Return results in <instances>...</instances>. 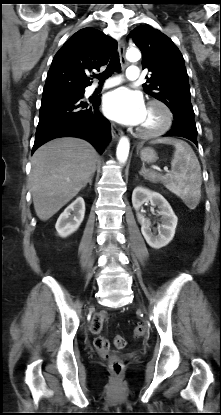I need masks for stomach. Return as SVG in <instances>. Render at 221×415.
I'll return each instance as SVG.
<instances>
[{"instance_id": "1", "label": "stomach", "mask_w": 221, "mask_h": 415, "mask_svg": "<svg viewBox=\"0 0 221 415\" xmlns=\"http://www.w3.org/2000/svg\"><path fill=\"white\" fill-rule=\"evenodd\" d=\"M140 158L144 162L153 163L158 157L154 149L146 147L140 150Z\"/></svg>"}]
</instances>
